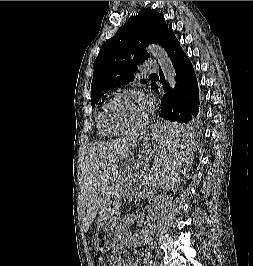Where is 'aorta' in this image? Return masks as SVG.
Listing matches in <instances>:
<instances>
[{"instance_id":"762f6f07","label":"aorta","mask_w":253,"mask_h":266,"mask_svg":"<svg viewBox=\"0 0 253 266\" xmlns=\"http://www.w3.org/2000/svg\"><path fill=\"white\" fill-rule=\"evenodd\" d=\"M148 52L158 61L166 82L174 88L177 84L176 72L166 51L159 45H151Z\"/></svg>"}]
</instances>
